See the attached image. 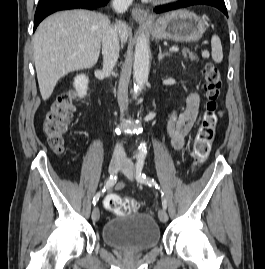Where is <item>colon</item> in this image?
Returning a JSON list of instances; mask_svg holds the SVG:
<instances>
[{
  "mask_svg": "<svg viewBox=\"0 0 265 269\" xmlns=\"http://www.w3.org/2000/svg\"><path fill=\"white\" fill-rule=\"evenodd\" d=\"M206 81V105L198 132L194 139L192 158L196 164H202L208 157L216 135L218 123V99L222 80L218 68L207 63L204 68ZM75 109L74 94H63L51 105L45 115L43 132L49 145L55 151H62L66 133ZM106 209L117 214H128L137 208V202L131 198L110 194L106 197Z\"/></svg>",
  "mask_w": 265,
  "mask_h": 269,
  "instance_id": "5ec220e1",
  "label": "colon"
}]
</instances>
